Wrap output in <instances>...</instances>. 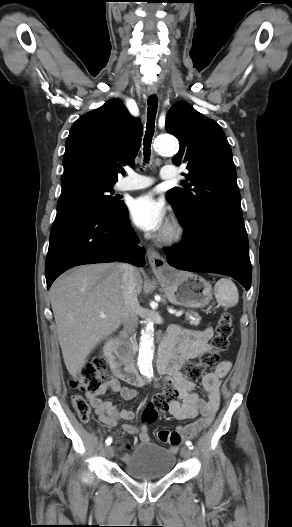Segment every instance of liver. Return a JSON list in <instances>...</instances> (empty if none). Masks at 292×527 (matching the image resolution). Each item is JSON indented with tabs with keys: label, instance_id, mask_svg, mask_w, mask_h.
I'll use <instances>...</instances> for the list:
<instances>
[{
	"label": "liver",
	"instance_id": "1",
	"mask_svg": "<svg viewBox=\"0 0 292 527\" xmlns=\"http://www.w3.org/2000/svg\"><path fill=\"white\" fill-rule=\"evenodd\" d=\"M122 275L121 263L85 265L59 277L50 288L58 340L72 377L81 372L98 343L123 322ZM135 283L139 294L142 277L137 268Z\"/></svg>",
	"mask_w": 292,
	"mask_h": 527
}]
</instances>
